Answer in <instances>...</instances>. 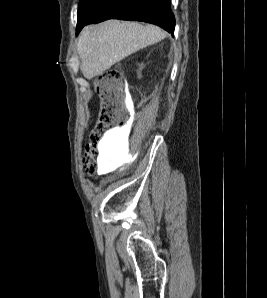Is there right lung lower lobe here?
<instances>
[{"mask_svg":"<svg viewBox=\"0 0 267 298\" xmlns=\"http://www.w3.org/2000/svg\"><path fill=\"white\" fill-rule=\"evenodd\" d=\"M107 19L144 21L174 35L175 18L171 11V0H104L86 21L77 25L76 35L86 24Z\"/></svg>","mask_w":267,"mask_h":298,"instance_id":"1","label":"right lung lower lobe"}]
</instances>
